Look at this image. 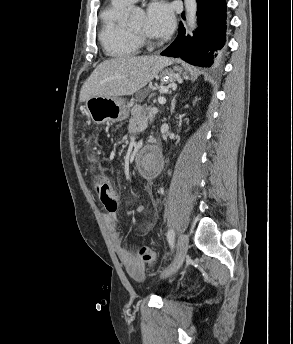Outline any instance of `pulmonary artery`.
Instances as JSON below:
<instances>
[{
    "label": "pulmonary artery",
    "instance_id": "1",
    "mask_svg": "<svg viewBox=\"0 0 293 344\" xmlns=\"http://www.w3.org/2000/svg\"><path fill=\"white\" fill-rule=\"evenodd\" d=\"M113 1H115L116 3H120V4H128V5H130V4H132V3H134V2H136L138 0H113Z\"/></svg>",
    "mask_w": 293,
    "mask_h": 344
}]
</instances>
